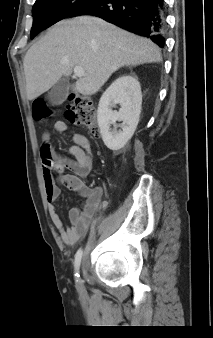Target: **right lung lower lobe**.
<instances>
[{
	"mask_svg": "<svg viewBox=\"0 0 213 338\" xmlns=\"http://www.w3.org/2000/svg\"><path fill=\"white\" fill-rule=\"evenodd\" d=\"M93 15L164 46V0H93L71 16Z\"/></svg>",
	"mask_w": 213,
	"mask_h": 338,
	"instance_id": "1",
	"label": "right lung lower lobe"
}]
</instances>
